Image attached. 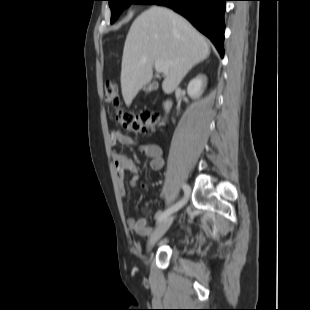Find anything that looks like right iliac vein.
Wrapping results in <instances>:
<instances>
[{"label": "right iliac vein", "mask_w": 310, "mask_h": 310, "mask_svg": "<svg viewBox=\"0 0 310 310\" xmlns=\"http://www.w3.org/2000/svg\"><path fill=\"white\" fill-rule=\"evenodd\" d=\"M174 215L168 216L162 223L156 228V230L150 235L147 244V251L149 252L154 245L160 240V238L166 233L173 223Z\"/></svg>", "instance_id": "right-iliac-vein-1"}]
</instances>
